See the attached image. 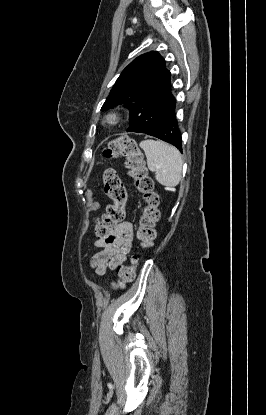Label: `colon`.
<instances>
[{
    "label": "colon",
    "mask_w": 266,
    "mask_h": 415,
    "mask_svg": "<svg viewBox=\"0 0 266 415\" xmlns=\"http://www.w3.org/2000/svg\"><path fill=\"white\" fill-rule=\"evenodd\" d=\"M106 159L125 157V167L133 179L135 188L141 194L144 207L139 217L137 239L142 248H149L156 238V225L160 219L158 195L154 191L152 179L148 176L144 156L137 142L130 137H120L110 141L103 151ZM103 188L105 194L112 200L106 213L97 221L95 235L106 238L113 229L126 219L127 189L113 168H107L103 173ZM138 257L134 256L130 265L118 268V281L114 288L123 287L135 277Z\"/></svg>",
    "instance_id": "colon-1"
}]
</instances>
